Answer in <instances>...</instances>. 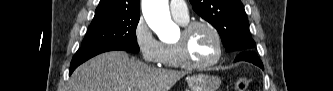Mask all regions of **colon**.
<instances>
[{
	"label": "colon",
	"instance_id": "5ec220e1",
	"mask_svg": "<svg viewBox=\"0 0 333 91\" xmlns=\"http://www.w3.org/2000/svg\"><path fill=\"white\" fill-rule=\"evenodd\" d=\"M250 79L247 77L240 78L236 83V89L238 91H245L248 89V86L250 84Z\"/></svg>",
	"mask_w": 333,
	"mask_h": 91
}]
</instances>
